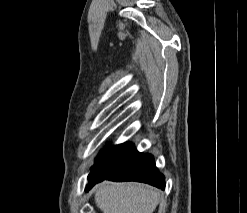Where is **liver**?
I'll list each match as a JSON object with an SVG mask.
<instances>
[{
  "instance_id": "1",
  "label": "liver",
  "mask_w": 247,
  "mask_h": 213,
  "mask_svg": "<svg viewBox=\"0 0 247 213\" xmlns=\"http://www.w3.org/2000/svg\"><path fill=\"white\" fill-rule=\"evenodd\" d=\"M160 195L143 184L103 182L96 187L95 203L103 213H153Z\"/></svg>"
}]
</instances>
